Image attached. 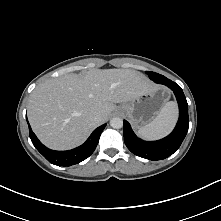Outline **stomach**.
Listing matches in <instances>:
<instances>
[{"label":"stomach","mask_w":221,"mask_h":221,"mask_svg":"<svg viewBox=\"0 0 221 221\" xmlns=\"http://www.w3.org/2000/svg\"><path fill=\"white\" fill-rule=\"evenodd\" d=\"M169 92L164 87L141 94L136 98L122 103L118 112L126 115L134 128H141L150 123L160 112L169 99Z\"/></svg>","instance_id":"stomach-1"}]
</instances>
